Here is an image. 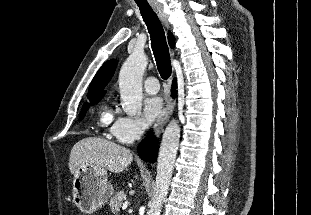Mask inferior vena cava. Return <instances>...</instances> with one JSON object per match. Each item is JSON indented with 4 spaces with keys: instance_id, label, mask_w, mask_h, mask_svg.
Segmentation results:
<instances>
[{
    "instance_id": "obj_1",
    "label": "inferior vena cava",
    "mask_w": 311,
    "mask_h": 215,
    "mask_svg": "<svg viewBox=\"0 0 311 215\" xmlns=\"http://www.w3.org/2000/svg\"><path fill=\"white\" fill-rule=\"evenodd\" d=\"M141 134H142V131L140 129L136 130L135 132L136 139H139Z\"/></svg>"
}]
</instances>
